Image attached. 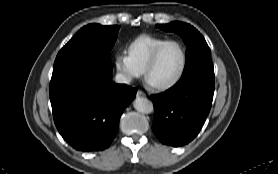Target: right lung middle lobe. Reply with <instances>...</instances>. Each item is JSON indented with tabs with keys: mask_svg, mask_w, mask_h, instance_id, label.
I'll return each instance as SVG.
<instances>
[{
	"mask_svg": "<svg viewBox=\"0 0 278 174\" xmlns=\"http://www.w3.org/2000/svg\"><path fill=\"white\" fill-rule=\"evenodd\" d=\"M120 26L89 24L81 28L59 51L53 74L64 68L82 67L111 73L110 51L114 46Z\"/></svg>",
	"mask_w": 278,
	"mask_h": 174,
	"instance_id": "obj_1",
	"label": "right lung middle lobe"
}]
</instances>
